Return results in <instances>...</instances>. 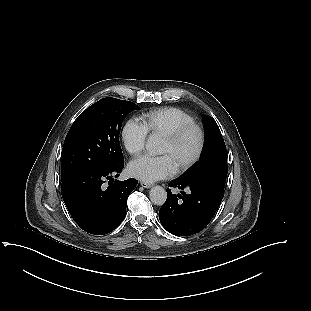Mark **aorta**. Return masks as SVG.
Listing matches in <instances>:
<instances>
[{"label":"aorta","instance_id":"aorta-1","mask_svg":"<svg viewBox=\"0 0 311 311\" xmlns=\"http://www.w3.org/2000/svg\"><path fill=\"white\" fill-rule=\"evenodd\" d=\"M146 150L151 154H159L160 153V141L158 138L154 136H150L146 142ZM150 200L153 204L157 206H162L167 199L166 190L159 186H153L149 192Z\"/></svg>","mask_w":311,"mask_h":311}]
</instances>
